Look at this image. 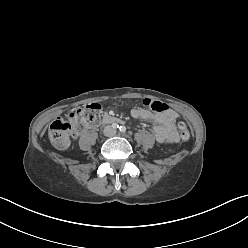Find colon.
Masks as SVG:
<instances>
[{
    "label": "colon",
    "mask_w": 248,
    "mask_h": 248,
    "mask_svg": "<svg viewBox=\"0 0 248 248\" xmlns=\"http://www.w3.org/2000/svg\"><path fill=\"white\" fill-rule=\"evenodd\" d=\"M141 103L157 112L168 109L166 104L151 99H143ZM100 113L101 107L98 104H91L75 110L69 115L68 119L57 118L49 128L50 141L58 149L67 148L73 135L99 121ZM178 128L182 140L187 141L190 137L187 125L184 122H179Z\"/></svg>",
    "instance_id": "5ec220e1"
}]
</instances>
